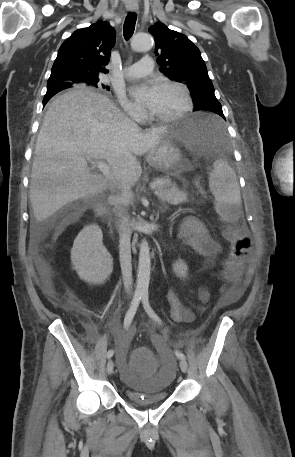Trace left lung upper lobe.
Returning a JSON list of instances; mask_svg holds the SVG:
<instances>
[{
    "label": "left lung upper lobe",
    "instance_id": "5c2ea615",
    "mask_svg": "<svg viewBox=\"0 0 295 457\" xmlns=\"http://www.w3.org/2000/svg\"><path fill=\"white\" fill-rule=\"evenodd\" d=\"M149 33L156 42L160 71L169 79L187 85L196 110L221 106L197 46L186 35L170 30L163 23H155Z\"/></svg>",
    "mask_w": 295,
    "mask_h": 457
}]
</instances>
